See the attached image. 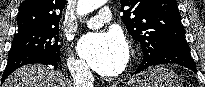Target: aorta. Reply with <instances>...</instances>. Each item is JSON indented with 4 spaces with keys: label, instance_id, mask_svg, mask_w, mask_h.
Instances as JSON below:
<instances>
[{
    "label": "aorta",
    "instance_id": "obj_1",
    "mask_svg": "<svg viewBox=\"0 0 205 87\" xmlns=\"http://www.w3.org/2000/svg\"><path fill=\"white\" fill-rule=\"evenodd\" d=\"M106 3V0H78L76 13L85 16Z\"/></svg>",
    "mask_w": 205,
    "mask_h": 87
}]
</instances>
